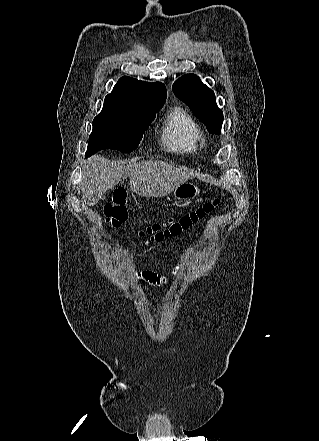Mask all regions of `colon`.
Here are the masks:
<instances>
[{
	"mask_svg": "<svg viewBox=\"0 0 319 441\" xmlns=\"http://www.w3.org/2000/svg\"><path fill=\"white\" fill-rule=\"evenodd\" d=\"M126 198V192L118 190L114 192L111 201L105 205L104 216L108 226L116 228L126 221L128 216ZM219 202L220 200L216 199L178 217L170 218L164 223L153 224L140 231V235L147 236L149 242H159L165 238L177 236L210 214Z\"/></svg>",
	"mask_w": 319,
	"mask_h": 441,
	"instance_id": "5ec220e1",
	"label": "colon"
}]
</instances>
